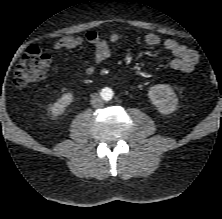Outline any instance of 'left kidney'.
I'll return each instance as SVG.
<instances>
[{"label":"left kidney","instance_id":"obj_1","mask_svg":"<svg viewBox=\"0 0 222 219\" xmlns=\"http://www.w3.org/2000/svg\"><path fill=\"white\" fill-rule=\"evenodd\" d=\"M148 96L161 114H170L177 109L178 98L169 85L158 84L151 87Z\"/></svg>","mask_w":222,"mask_h":219}]
</instances>
